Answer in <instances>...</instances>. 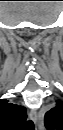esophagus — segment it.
Listing matches in <instances>:
<instances>
[{
	"mask_svg": "<svg viewBox=\"0 0 63 130\" xmlns=\"http://www.w3.org/2000/svg\"><path fill=\"white\" fill-rule=\"evenodd\" d=\"M29 116H30V118H31V120H32L33 122H35V123L37 122V120H38V115H37V111H36V110L32 109V110L30 111Z\"/></svg>",
	"mask_w": 63,
	"mask_h": 130,
	"instance_id": "34e87169",
	"label": "esophagus"
}]
</instances>
